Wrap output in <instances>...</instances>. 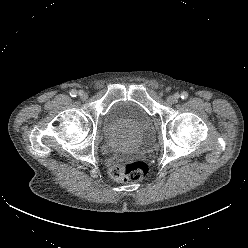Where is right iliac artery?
<instances>
[{"instance_id":"right-iliac-artery-1","label":"right iliac artery","mask_w":248,"mask_h":248,"mask_svg":"<svg viewBox=\"0 0 248 248\" xmlns=\"http://www.w3.org/2000/svg\"><path fill=\"white\" fill-rule=\"evenodd\" d=\"M70 96L71 97H76L77 96V91L76 90H71Z\"/></svg>"}]
</instances>
